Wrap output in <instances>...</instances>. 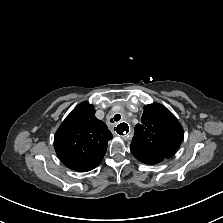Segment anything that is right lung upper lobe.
Segmentation results:
<instances>
[{
	"instance_id": "cb5924a9",
	"label": "right lung upper lobe",
	"mask_w": 223,
	"mask_h": 223,
	"mask_svg": "<svg viewBox=\"0 0 223 223\" xmlns=\"http://www.w3.org/2000/svg\"><path fill=\"white\" fill-rule=\"evenodd\" d=\"M94 115L93 105L82 102L71 111L55 134L56 153L72 170L87 172L97 167L113 137L106 124Z\"/></svg>"
}]
</instances>
